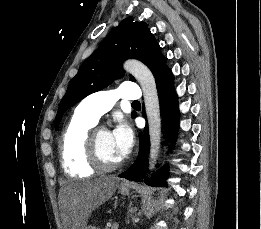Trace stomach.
Listing matches in <instances>:
<instances>
[{
  "mask_svg": "<svg viewBox=\"0 0 261 229\" xmlns=\"http://www.w3.org/2000/svg\"><path fill=\"white\" fill-rule=\"evenodd\" d=\"M119 193H121V195H125V197H127V195H130L129 187H119ZM86 229H96V227H86Z\"/></svg>",
  "mask_w": 261,
  "mask_h": 229,
  "instance_id": "1",
  "label": "stomach"
}]
</instances>
